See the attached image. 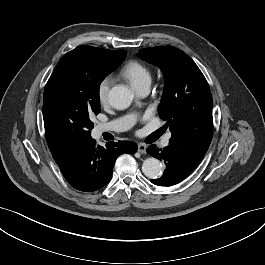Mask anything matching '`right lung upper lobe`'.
<instances>
[{"mask_svg": "<svg viewBox=\"0 0 265 265\" xmlns=\"http://www.w3.org/2000/svg\"><path fill=\"white\" fill-rule=\"evenodd\" d=\"M62 155H63V154H62ZM59 156H61V155H56V156H53V157L55 158V157H59Z\"/></svg>", "mask_w": 265, "mask_h": 265, "instance_id": "right-lung-upper-lobe-1", "label": "right lung upper lobe"}]
</instances>
